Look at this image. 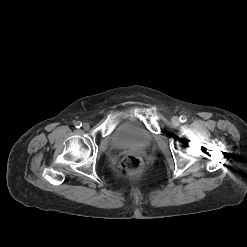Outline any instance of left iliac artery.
I'll return each mask as SVG.
<instances>
[{"label":"left iliac artery","mask_w":247,"mask_h":247,"mask_svg":"<svg viewBox=\"0 0 247 247\" xmlns=\"http://www.w3.org/2000/svg\"><path fill=\"white\" fill-rule=\"evenodd\" d=\"M180 121L181 122H186L187 121V116L186 115H181L180 116Z\"/></svg>","instance_id":"obj_1"}]
</instances>
